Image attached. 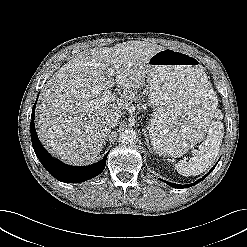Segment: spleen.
<instances>
[{
	"mask_svg": "<svg viewBox=\"0 0 247 247\" xmlns=\"http://www.w3.org/2000/svg\"><path fill=\"white\" fill-rule=\"evenodd\" d=\"M215 117L222 118L220 110H216ZM224 135V125L221 121H213L210 124L208 135L204 142L199 145V150L189 161H179L175 169L183 176H197L213 165L222 143Z\"/></svg>",
	"mask_w": 247,
	"mask_h": 247,
	"instance_id": "1",
	"label": "spleen"
}]
</instances>
